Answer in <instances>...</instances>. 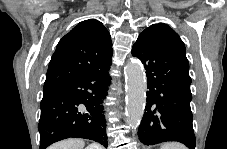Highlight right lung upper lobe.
I'll use <instances>...</instances> for the list:
<instances>
[{"label":"right lung upper lobe","mask_w":227,"mask_h":149,"mask_svg":"<svg viewBox=\"0 0 227 149\" xmlns=\"http://www.w3.org/2000/svg\"><path fill=\"white\" fill-rule=\"evenodd\" d=\"M111 37L95 19L80 22L58 43L51 57L43 90L99 69L111 61Z\"/></svg>","instance_id":"right-lung-upper-lobe-1"}]
</instances>
